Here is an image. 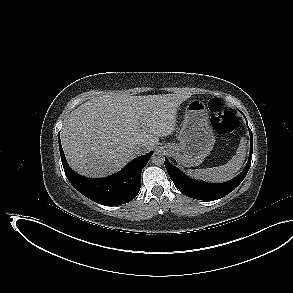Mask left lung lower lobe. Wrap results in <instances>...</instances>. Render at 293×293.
I'll list each match as a JSON object with an SVG mask.
<instances>
[{
	"label": "left lung lower lobe",
	"instance_id": "left-lung-lower-lobe-1",
	"mask_svg": "<svg viewBox=\"0 0 293 293\" xmlns=\"http://www.w3.org/2000/svg\"><path fill=\"white\" fill-rule=\"evenodd\" d=\"M249 131L251 138L249 160L244 170L238 176L222 184H210L206 182L196 181L186 176L175 166L171 165L168 162L167 158H165V167L175 186L185 195L194 199L204 201L217 200L229 194L243 181L251 165L253 152V135L250 129Z\"/></svg>",
	"mask_w": 293,
	"mask_h": 293
}]
</instances>
